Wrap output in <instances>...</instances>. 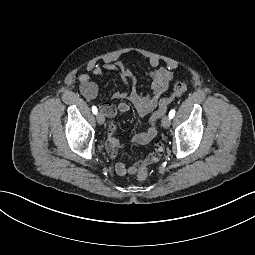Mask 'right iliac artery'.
I'll use <instances>...</instances> for the list:
<instances>
[{
	"mask_svg": "<svg viewBox=\"0 0 255 255\" xmlns=\"http://www.w3.org/2000/svg\"><path fill=\"white\" fill-rule=\"evenodd\" d=\"M97 111H98L97 108H96L95 106H93V107H92V112H93L94 114H97Z\"/></svg>",
	"mask_w": 255,
	"mask_h": 255,
	"instance_id": "obj_1",
	"label": "right iliac artery"
}]
</instances>
